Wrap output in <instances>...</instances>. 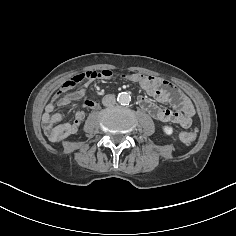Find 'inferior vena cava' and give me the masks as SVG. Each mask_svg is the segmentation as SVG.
I'll return each mask as SVG.
<instances>
[{"label":"inferior vena cava","instance_id":"inferior-vena-cava-1","mask_svg":"<svg viewBox=\"0 0 236 236\" xmlns=\"http://www.w3.org/2000/svg\"><path fill=\"white\" fill-rule=\"evenodd\" d=\"M116 102L115 96L112 94L105 95L102 99V104L106 107H112Z\"/></svg>","mask_w":236,"mask_h":236}]
</instances>
